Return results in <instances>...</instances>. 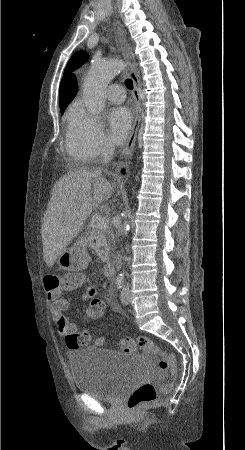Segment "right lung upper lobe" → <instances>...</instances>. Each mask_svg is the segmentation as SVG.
<instances>
[{
	"mask_svg": "<svg viewBox=\"0 0 245 450\" xmlns=\"http://www.w3.org/2000/svg\"><path fill=\"white\" fill-rule=\"evenodd\" d=\"M78 91L76 78L73 74L63 77L59 89L60 108L67 107Z\"/></svg>",
	"mask_w": 245,
	"mask_h": 450,
	"instance_id": "right-lung-upper-lobe-1",
	"label": "right lung upper lobe"
}]
</instances>
